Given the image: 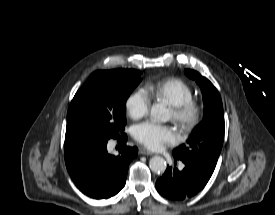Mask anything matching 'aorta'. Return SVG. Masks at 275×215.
I'll return each instance as SVG.
<instances>
[{
    "instance_id": "aorta-1",
    "label": "aorta",
    "mask_w": 275,
    "mask_h": 215,
    "mask_svg": "<svg viewBox=\"0 0 275 215\" xmlns=\"http://www.w3.org/2000/svg\"><path fill=\"white\" fill-rule=\"evenodd\" d=\"M150 115L155 122H167L170 119V114L167 108L161 104L153 105ZM166 166L165 159L160 156H154L149 161V167L155 173H164Z\"/></svg>"
}]
</instances>
